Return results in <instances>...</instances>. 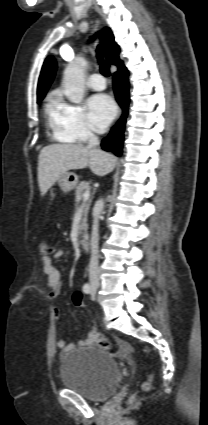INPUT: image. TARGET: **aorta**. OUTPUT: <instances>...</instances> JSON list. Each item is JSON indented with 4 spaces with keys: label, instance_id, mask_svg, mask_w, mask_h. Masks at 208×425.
<instances>
[{
    "label": "aorta",
    "instance_id": "obj_1",
    "mask_svg": "<svg viewBox=\"0 0 208 425\" xmlns=\"http://www.w3.org/2000/svg\"><path fill=\"white\" fill-rule=\"evenodd\" d=\"M87 61L77 57L69 63L64 71L63 87L67 99L75 104L80 103L84 97V75Z\"/></svg>",
    "mask_w": 208,
    "mask_h": 425
}]
</instances>
